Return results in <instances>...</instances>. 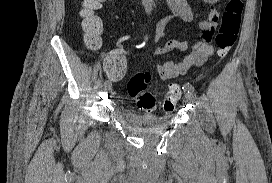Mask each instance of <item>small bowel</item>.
Segmentation results:
<instances>
[{"mask_svg": "<svg viewBox=\"0 0 272 183\" xmlns=\"http://www.w3.org/2000/svg\"><path fill=\"white\" fill-rule=\"evenodd\" d=\"M207 4L214 5L219 0H202ZM171 13L183 20L191 22L197 11V6L191 5L187 0H167ZM219 13L211 9L207 18L199 22V28L202 31L199 42H186L172 40L164 47L156 48L157 54L167 53L173 49L190 50V54L181 62L166 61L158 66V73L163 81H169L184 75L188 69L195 66H201L212 54L213 47L210 43L214 42L215 31L218 30ZM158 36L153 39L156 40ZM105 70L112 80H120L126 71V58L124 50L117 48L113 50L105 59ZM174 87L173 85L171 88Z\"/></svg>", "mask_w": 272, "mask_h": 183, "instance_id": "obj_1", "label": "small bowel"}]
</instances>
